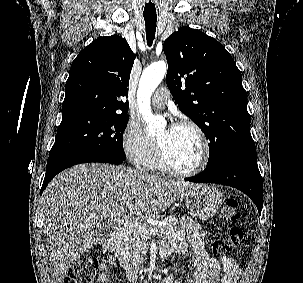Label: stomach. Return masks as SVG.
Masks as SVG:
<instances>
[{"mask_svg": "<svg viewBox=\"0 0 303 283\" xmlns=\"http://www.w3.org/2000/svg\"><path fill=\"white\" fill-rule=\"evenodd\" d=\"M223 202V194L213 186L196 185L186 191V207L200 219L213 217Z\"/></svg>", "mask_w": 303, "mask_h": 283, "instance_id": "obj_1", "label": "stomach"}]
</instances>
